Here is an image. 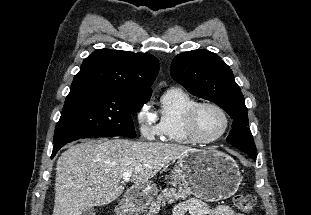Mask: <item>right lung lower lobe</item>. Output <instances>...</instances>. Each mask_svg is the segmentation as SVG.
I'll return each mask as SVG.
<instances>
[{
  "label": "right lung lower lobe",
  "instance_id": "1",
  "mask_svg": "<svg viewBox=\"0 0 311 215\" xmlns=\"http://www.w3.org/2000/svg\"><path fill=\"white\" fill-rule=\"evenodd\" d=\"M74 140H77V139H74ZM74 140H67V141H64V142H60V143H57L53 146V152H52V156L51 158H53L55 156V154L58 152V150L63 147L65 144L71 142V141H74Z\"/></svg>",
  "mask_w": 311,
  "mask_h": 215
}]
</instances>
